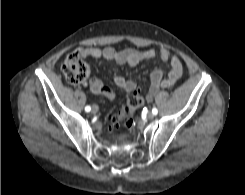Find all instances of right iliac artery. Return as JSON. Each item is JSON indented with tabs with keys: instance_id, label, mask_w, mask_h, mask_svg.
<instances>
[{
	"instance_id": "1",
	"label": "right iliac artery",
	"mask_w": 245,
	"mask_h": 195,
	"mask_svg": "<svg viewBox=\"0 0 245 195\" xmlns=\"http://www.w3.org/2000/svg\"><path fill=\"white\" fill-rule=\"evenodd\" d=\"M85 111H86V112H90V111H91V107H90V106H86V107H85Z\"/></svg>"
}]
</instances>
